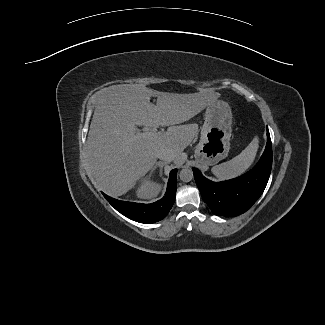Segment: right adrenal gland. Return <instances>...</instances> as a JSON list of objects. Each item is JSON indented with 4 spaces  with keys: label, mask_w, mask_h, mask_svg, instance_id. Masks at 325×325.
<instances>
[{
    "label": "right adrenal gland",
    "mask_w": 325,
    "mask_h": 325,
    "mask_svg": "<svg viewBox=\"0 0 325 325\" xmlns=\"http://www.w3.org/2000/svg\"><path fill=\"white\" fill-rule=\"evenodd\" d=\"M167 164V162H157L156 165L151 169V174L153 173L154 170H156L157 167L160 168V176H162L163 172V167Z\"/></svg>",
    "instance_id": "2a0ac1e0"
}]
</instances>
